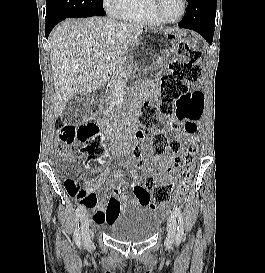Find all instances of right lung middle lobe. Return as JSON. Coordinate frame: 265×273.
<instances>
[{
    "label": "right lung middle lobe",
    "instance_id": "1",
    "mask_svg": "<svg viewBox=\"0 0 265 273\" xmlns=\"http://www.w3.org/2000/svg\"><path fill=\"white\" fill-rule=\"evenodd\" d=\"M104 15L103 0H46V22Z\"/></svg>",
    "mask_w": 265,
    "mask_h": 273
}]
</instances>
